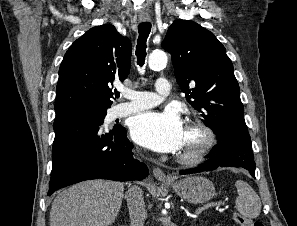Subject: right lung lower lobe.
I'll use <instances>...</instances> for the list:
<instances>
[{"instance_id":"obj_1","label":"right lung lower lobe","mask_w":297,"mask_h":226,"mask_svg":"<svg viewBox=\"0 0 297 226\" xmlns=\"http://www.w3.org/2000/svg\"><path fill=\"white\" fill-rule=\"evenodd\" d=\"M102 124L92 109L56 116L48 196L84 180L129 181L148 175L147 166L133 158L125 128L103 131Z\"/></svg>"}]
</instances>
